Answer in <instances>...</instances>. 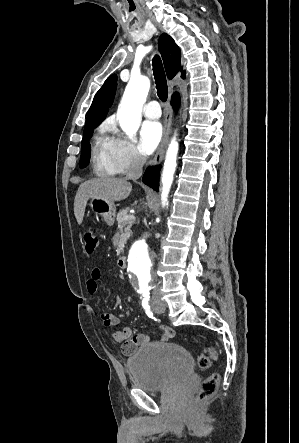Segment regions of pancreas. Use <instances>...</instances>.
Returning <instances> with one entry per match:
<instances>
[{"instance_id":"pancreas-1","label":"pancreas","mask_w":299,"mask_h":443,"mask_svg":"<svg viewBox=\"0 0 299 443\" xmlns=\"http://www.w3.org/2000/svg\"><path fill=\"white\" fill-rule=\"evenodd\" d=\"M128 215V210L127 209H122L118 212L117 214V222H118V227L120 228L121 232H122V236H121V241H120V249H119V253L123 251V246L126 242V240L128 239V237L130 236V227L132 226V224L135 222V220H127L125 219Z\"/></svg>"}]
</instances>
